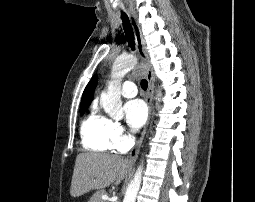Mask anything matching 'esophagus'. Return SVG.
Here are the masks:
<instances>
[{
	"instance_id": "esophagus-1",
	"label": "esophagus",
	"mask_w": 255,
	"mask_h": 202,
	"mask_svg": "<svg viewBox=\"0 0 255 202\" xmlns=\"http://www.w3.org/2000/svg\"><path fill=\"white\" fill-rule=\"evenodd\" d=\"M130 21H131V25H132V28L134 31L137 52L141 59V67L144 70V73H145L147 81H148L147 104H148V108H149V118H148L147 124H146L145 128L143 129L139 139L137 140L134 148L131 150V152L129 154V163L133 164L136 161L138 154L140 152V148H141L144 136L146 134L147 127H148L150 117H151L152 99H153V72H152L148 52L146 50L144 38H143V35L141 32L139 23L133 15H131Z\"/></svg>"
}]
</instances>
